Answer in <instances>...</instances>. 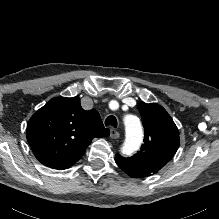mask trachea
Here are the masks:
<instances>
[{
  "instance_id": "1",
  "label": "trachea",
  "mask_w": 219,
  "mask_h": 219,
  "mask_svg": "<svg viewBox=\"0 0 219 219\" xmlns=\"http://www.w3.org/2000/svg\"><path fill=\"white\" fill-rule=\"evenodd\" d=\"M105 125L106 126H112L114 128L117 127V119L114 116H108L105 120Z\"/></svg>"
}]
</instances>
